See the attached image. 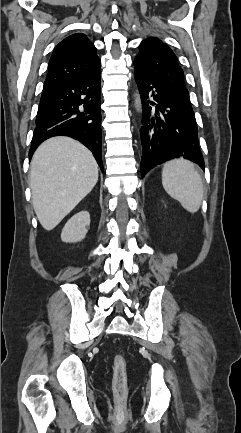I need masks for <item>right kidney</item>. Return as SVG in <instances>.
Returning a JSON list of instances; mask_svg holds the SVG:
<instances>
[{
  "mask_svg": "<svg viewBox=\"0 0 241 433\" xmlns=\"http://www.w3.org/2000/svg\"><path fill=\"white\" fill-rule=\"evenodd\" d=\"M90 225V214L88 211H80L71 217L65 224L61 240L66 243H75L83 240Z\"/></svg>",
  "mask_w": 241,
  "mask_h": 433,
  "instance_id": "ca27d5eb",
  "label": "right kidney"
}]
</instances>
